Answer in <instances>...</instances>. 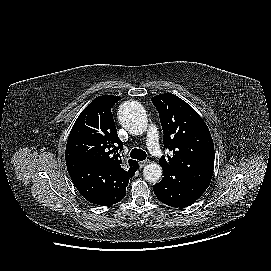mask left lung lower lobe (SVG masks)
<instances>
[{"label": "left lung lower lobe", "mask_w": 271, "mask_h": 271, "mask_svg": "<svg viewBox=\"0 0 271 271\" xmlns=\"http://www.w3.org/2000/svg\"><path fill=\"white\" fill-rule=\"evenodd\" d=\"M206 189L205 186L176 171H165L163 179L153 186L159 201L180 208L193 204Z\"/></svg>", "instance_id": "1"}]
</instances>
